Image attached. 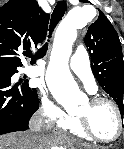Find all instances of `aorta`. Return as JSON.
<instances>
[{"instance_id":"1","label":"aorta","mask_w":124,"mask_h":149,"mask_svg":"<svg viewBox=\"0 0 124 149\" xmlns=\"http://www.w3.org/2000/svg\"><path fill=\"white\" fill-rule=\"evenodd\" d=\"M88 20L82 9H72L60 23L56 38L55 60L49 66L46 74L47 85L58 100L76 102L80 95L68 67V57L77 36V29L86 26Z\"/></svg>"}]
</instances>
